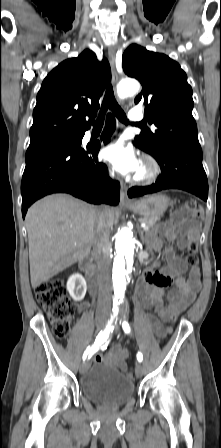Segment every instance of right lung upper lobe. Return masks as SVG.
<instances>
[{"mask_svg":"<svg viewBox=\"0 0 221 448\" xmlns=\"http://www.w3.org/2000/svg\"><path fill=\"white\" fill-rule=\"evenodd\" d=\"M110 79L108 61L88 49L55 67L37 94L29 147L88 130Z\"/></svg>","mask_w":221,"mask_h":448,"instance_id":"obj_1","label":"right lung upper lobe"}]
</instances>
